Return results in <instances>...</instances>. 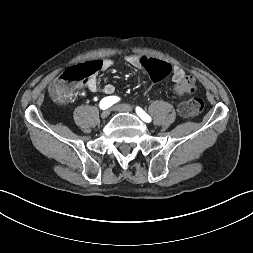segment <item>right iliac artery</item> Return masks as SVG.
Returning <instances> with one entry per match:
<instances>
[{"label":"right iliac artery","instance_id":"obj_1","mask_svg":"<svg viewBox=\"0 0 253 253\" xmlns=\"http://www.w3.org/2000/svg\"><path fill=\"white\" fill-rule=\"evenodd\" d=\"M118 101H119V98L116 96H107L100 101L99 107L105 110L111 107L114 103Z\"/></svg>","mask_w":253,"mask_h":253}]
</instances>
